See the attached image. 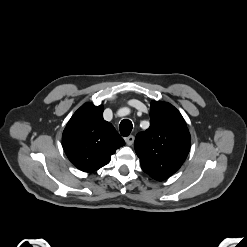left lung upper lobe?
Masks as SVG:
<instances>
[{
  "mask_svg": "<svg viewBox=\"0 0 247 247\" xmlns=\"http://www.w3.org/2000/svg\"><path fill=\"white\" fill-rule=\"evenodd\" d=\"M150 118V127L136 136L135 151L143 171L163 181L184 163L190 150V133L180 112L169 103L152 101Z\"/></svg>",
  "mask_w": 247,
  "mask_h": 247,
  "instance_id": "left-lung-upper-lobe-1",
  "label": "left lung upper lobe"
}]
</instances>
